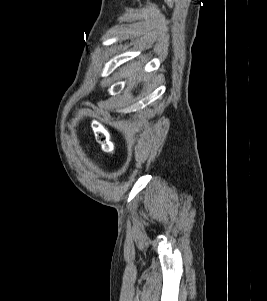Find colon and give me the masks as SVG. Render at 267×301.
<instances>
[{
	"instance_id": "obj_1",
	"label": "colon",
	"mask_w": 267,
	"mask_h": 301,
	"mask_svg": "<svg viewBox=\"0 0 267 301\" xmlns=\"http://www.w3.org/2000/svg\"><path fill=\"white\" fill-rule=\"evenodd\" d=\"M94 134L97 142L106 152H112L114 150V144L111 140L110 133L101 124H94Z\"/></svg>"
}]
</instances>
